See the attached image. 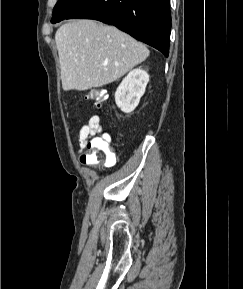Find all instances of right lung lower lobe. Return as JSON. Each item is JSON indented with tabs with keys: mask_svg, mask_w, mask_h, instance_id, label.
<instances>
[{
	"mask_svg": "<svg viewBox=\"0 0 243 289\" xmlns=\"http://www.w3.org/2000/svg\"><path fill=\"white\" fill-rule=\"evenodd\" d=\"M95 19L169 54L170 0H84L66 19Z\"/></svg>",
	"mask_w": 243,
	"mask_h": 289,
	"instance_id": "98d812e1",
	"label": "right lung lower lobe"
}]
</instances>
